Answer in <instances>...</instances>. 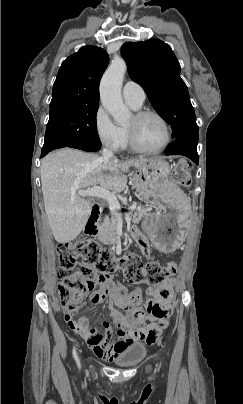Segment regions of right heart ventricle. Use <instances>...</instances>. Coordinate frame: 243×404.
<instances>
[{"instance_id": "obj_1", "label": "right heart ventricle", "mask_w": 243, "mask_h": 404, "mask_svg": "<svg viewBox=\"0 0 243 404\" xmlns=\"http://www.w3.org/2000/svg\"><path fill=\"white\" fill-rule=\"evenodd\" d=\"M127 103H128V105H129L132 109H134V110H137V109H139V108L141 107V106H136L135 104L130 103V102H127ZM121 131H122L123 137H124L122 150H123V151H126V152H129V153H133V154H134V153H139V151L136 150V149L132 146V144L130 143V141H129V139H128V136H127V134H126L125 128L121 127Z\"/></svg>"}]
</instances>
